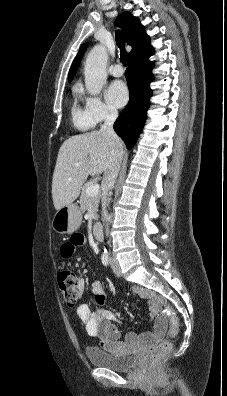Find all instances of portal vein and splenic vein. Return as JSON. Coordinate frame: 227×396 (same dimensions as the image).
I'll return each instance as SVG.
<instances>
[{"mask_svg":"<svg viewBox=\"0 0 227 396\" xmlns=\"http://www.w3.org/2000/svg\"><path fill=\"white\" fill-rule=\"evenodd\" d=\"M77 166H78V164H77ZM99 190H100L99 184L94 183V184H90V185L88 186V188L86 189V193H87L89 196H93V195L98 194V193H99Z\"/></svg>","mask_w":227,"mask_h":396,"instance_id":"18ae733b","label":"portal vein and splenic vein"}]
</instances>
